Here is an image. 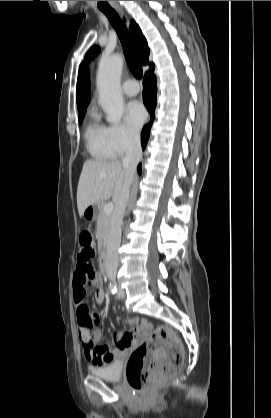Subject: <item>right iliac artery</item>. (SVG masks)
<instances>
[{
	"mask_svg": "<svg viewBox=\"0 0 271 418\" xmlns=\"http://www.w3.org/2000/svg\"><path fill=\"white\" fill-rule=\"evenodd\" d=\"M109 290H110L111 293L115 294L116 291H117L116 285L113 284V283H110L109 284Z\"/></svg>",
	"mask_w": 271,
	"mask_h": 418,
	"instance_id": "right-iliac-artery-1",
	"label": "right iliac artery"
}]
</instances>
